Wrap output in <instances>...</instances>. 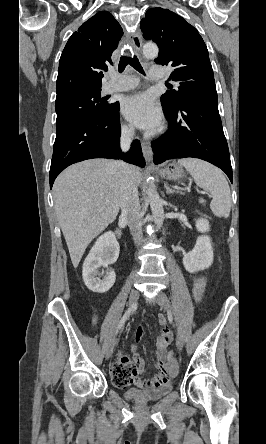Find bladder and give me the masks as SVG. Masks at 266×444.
<instances>
[{
	"mask_svg": "<svg viewBox=\"0 0 266 444\" xmlns=\"http://www.w3.org/2000/svg\"><path fill=\"white\" fill-rule=\"evenodd\" d=\"M173 389V385L171 383H167L161 385L156 388L151 389H136V388H128L123 394L126 398L139 401V402H148V401H157L162 399L167 394H169Z\"/></svg>",
	"mask_w": 266,
	"mask_h": 444,
	"instance_id": "obj_1",
	"label": "bladder"
}]
</instances>
